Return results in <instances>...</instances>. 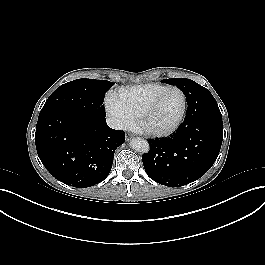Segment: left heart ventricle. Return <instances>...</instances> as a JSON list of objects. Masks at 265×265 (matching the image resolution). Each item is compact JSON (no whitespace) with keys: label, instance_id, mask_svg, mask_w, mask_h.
I'll return each mask as SVG.
<instances>
[{"label":"left heart ventricle","instance_id":"b2bd125f","mask_svg":"<svg viewBox=\"0 0 265 265\" xmlns=\"http://www.w3.org/2000/svg\"><path fill=\"white\" fill-rule=\"evenodd\" d=\"M182 108V97L178 91L164 94L146 120V125L155 130L166 129L178 118Z\"/></svg>","mask_w":265,"mask_h":265}]
</instances>
